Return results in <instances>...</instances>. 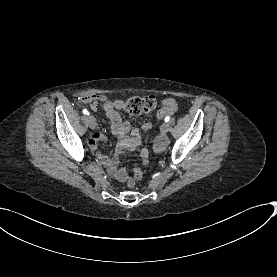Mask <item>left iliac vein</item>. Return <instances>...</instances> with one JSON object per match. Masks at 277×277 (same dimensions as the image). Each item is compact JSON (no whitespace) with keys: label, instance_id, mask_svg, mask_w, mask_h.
Returning a JSON list of instances; mask_svg holds the SVG:
<instances>
[{"label":"left iliac vein","instance_id":"left-iliac-vein-1","mask_svg":"<svg viewBox=\"0 0 277 277\" xmlns=\"http://www.w3.org/2000/svg\"><path fill=\"white\" fill-rule=\"evenodd\" d=\"M160 130H161L162 133H167L168 130H169V125H168V123H163V124L161 125Z\"/></svg>","mask_w":277,"mask_h":277}]
</instances>
